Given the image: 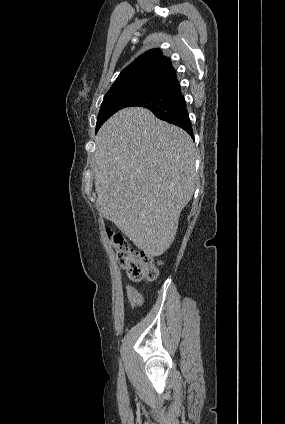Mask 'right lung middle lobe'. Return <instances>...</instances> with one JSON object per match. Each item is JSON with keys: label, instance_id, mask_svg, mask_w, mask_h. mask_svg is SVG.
I'll use <instances>...</instances> for the list:
<instances>
[{"label": "right lung middle lobe", "instance_id": "1", "mask_svg": "<svg viewBox=\"0 0 285 424\" xmlns=\"http://www.w3.org/2000/svg\"><path fill=\"white\" fill-rule=\"evenodd\" d=\"M162 86L163 84L156 82H140L110 89L101 104L96 131L114 113L127 107L132 101L152 94Z\"/></svg>", "mask_w": 285, "mask_h": 424}]
</instances>
